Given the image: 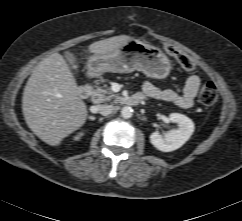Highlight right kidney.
Listing matches in <instances>:
<instances>
[{
  "label": "right kidney",
  "instance_id": "1",
  "mask_svg": "<svg viewBox=\"0 0 242 221\" xmlns=\"http://www.w3.org/2000/svg\"><path fill=\"white\" fill-rule=\"evenodd\" d=\"M83 135V133H79L76 137L75 140H79L81 138V136Z\"/></svg>",
  "mask_w": 242,
  "mask_h": 221
}]
</instances>
